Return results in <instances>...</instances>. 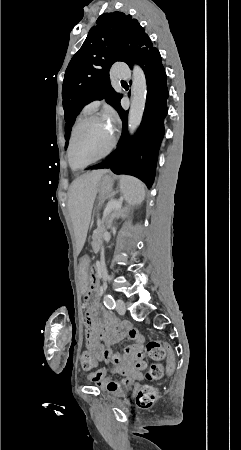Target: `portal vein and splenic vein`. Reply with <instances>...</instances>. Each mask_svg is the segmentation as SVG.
<instances>
[{
	"mask_svg": "<svg viewBox=\"0 0 241 450\" xmlns=\"http://www.w3.org/2000/svg\"><path fill=\"white\" fill-rule=\"evenodd\" d=\"M123 202H118V204H114V202H112V201H110V202H108V204L106 205V208H104L103 209V212L104 213H102V218H107V213H119L120 212V209L118 208V207H123ZM99 224L100 225H103L104 224V221H103V219L102 220H100L99 221Z\"/></svg>",
	"mask_w": 241,
	"mask_h": 450,
	"instance_id": "18ae733b",
	"label": "portal vein and splenic vein"
}]
</instances>
